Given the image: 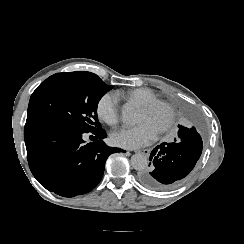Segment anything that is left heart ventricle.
<instances>
[{"mask_svg": "<svg viewBox=\"0 0 244 244\" xmlns=\"http://www.w3.org/2000/svg\"><path fill=\"white\" fill-rule=\"evenodd\" d=\"M169 122V114L163 107H159L150 111H146L141 107L138 109L137 123H147L152 126L158 133H162L163 130L168 126Z\"/></svg>", "mask_w": 244, "mask_h": 244, "instance_id": "left-heart-ventricle-1", "label": "left heart ventricle"}]
</instances>
